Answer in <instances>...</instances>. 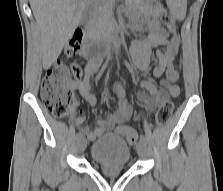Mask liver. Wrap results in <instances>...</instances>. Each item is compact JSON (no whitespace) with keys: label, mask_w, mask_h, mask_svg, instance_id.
Listing matches in <instances>:
<instances>
[{"label":"liver","mask_w":223,"mask_h":191,"mask_svg":"<svg viewBox=\"0 0 223 191\" xmlns=\"http://www.w3.org/2000/svg\"><path fill=\"white\" fill-rule=\"evenodd\" d=\"M87 0H30L41 33L42 64L48 69L80 23Z\"/></svg>","instance_id":"6515ba94"}]
</instances>
